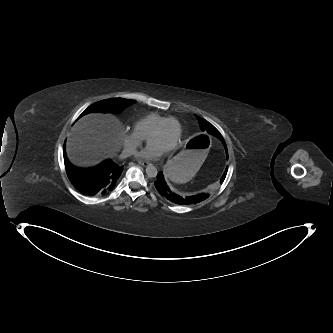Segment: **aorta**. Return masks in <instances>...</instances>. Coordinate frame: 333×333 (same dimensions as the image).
Masks as SVG:
<instances>
[{
    "instance_id": "1",
    "label": "aorta",
    "mask_w": 333,
    "mask_h": 333,
    "mask_svg": "<svg viewBox=\"0 0 333 333\" xmlns=\"http://www.w3.org/2000/svg\"><path fill=\"white\" fill-rule=\"evenodd\" d=\"M157 169L153 165H148L146 168V173L149 177H156L157 176Z\"/></svg>"
}]
</instances>
